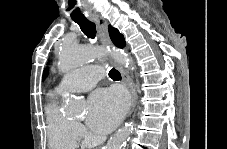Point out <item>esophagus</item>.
I'll return each instance as SVG.
<instances>
[{"label": "esophagus", "mask_w": 227, "mask_h": 149, "mask_svg": "<svg viewBox=\"0 0 227 149\" xmlns=\"http://www.w3.org/2000/svg\"><path fill=\"white\" fill-rule=\"evenodd\" d=\"M95 21H96L97 27L99 29V32L101 34L102 44L105 46H110L111 42H110V38L108 35L106 20L102 17H97V18H95ZM109 59H110V62L120 72L123 83L130 92L131 102H130V106H129L128 112H127V117H129L132 114V112L134 111L135 105H136V91H135L133 80L130 77V75L128 74V72L113 57H110Z\"/></svg>", "instance_id": "1"}]
</instances>
